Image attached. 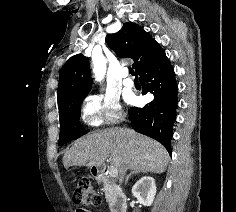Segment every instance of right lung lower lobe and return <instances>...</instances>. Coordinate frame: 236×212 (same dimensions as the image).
<instances>
[{
  "mask_svg": "<svg viewBox=\"0 0 236 212\" xmlns=\"http://www.w3.org/2000/svg\"><path fill=\"white\" fill-rule=\"evenodd\" d=\"M137 74L140 76L143 94L150 92L154 99L142 108H130L129 119L135 131L159 141L171 154L178 89L174 69L160 45Z\"/></svg>",
  "mask_w": 236,
  "mask_h": 212,
  "instance_id": "obj_1",
  "label": "right lung lower lobe"
}]
</instances>
